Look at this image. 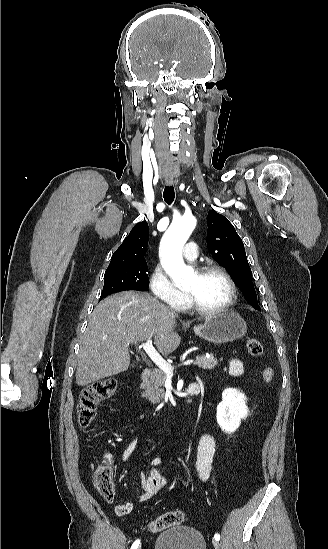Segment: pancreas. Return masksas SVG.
<instances>
[{"label": "pancreas", "instance_id": "obj_1", "mask_svg": "<svg viewBox=\"0 0 328 549\" xmlns=\"http://www.w3.org/2000/svg\"><path fill=\"white\" fill-rule=\"evenodd\" d=\"M194 365L201 367V369H214L215 365H218V361L213 355H210V357H196ZM165 381L166 373L162 369H154L151 377L141 385V389H144V393L151 403H160L164 399L165 393L161 387H164Z\"/></svg>", "mask_w": 328, "mask_h": 549}]
</instances>
